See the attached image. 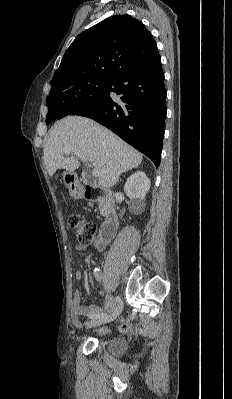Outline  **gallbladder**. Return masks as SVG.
<instances>
[{"mask_svg": "<svg viewBox=\"0 0 232 399\" xmlns=\"http://www.w3.org/2000/svg\"><path fill=\"white\" fill-rule=\"evenodd\" d=\"M83 173L84 174H90L91 173V168L90 167H84L83 168Z\"/></svg>", "mask_w": 232, "mask_h": 399, "instance_id": "obj_1", "label": "gallbladder"}]
</instances>
